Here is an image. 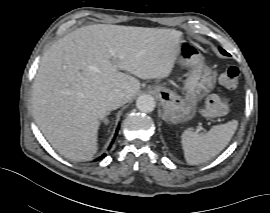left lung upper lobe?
Listing matches in <instances>:
<instances>
[{
	"mask_svg": "<svg viewBox=\"0 0 270 213\" xmlns=\"http://www.w3.org/2000/svg\"><path fill=\"white\" fill-rule=\"evenodd\" d=\"M220 52L223 54V55H229L225 50H223L222 48H220Z\"/></svg>",
	"mask_w": 270,
	"mask_h": 213,
	"instance_id": "left-lung-upper-lobe-1",
	"label": "left lung upper lobe"
}]
</instances>
